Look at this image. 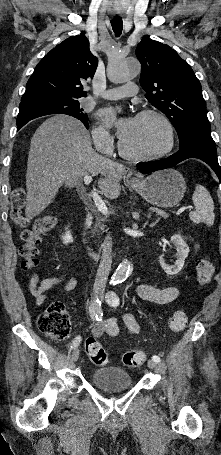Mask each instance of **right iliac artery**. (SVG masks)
<instances>
[{
  "mask_svg": "<svg viewBox=\"0 0 221 455\" xmlns=\"http://www.w3.org/2000/svg\"><path fill=\"white\" fill-rule=\"evenodd\" d=\"M89 313H90V316H91L92 319H96L97 321H101L102 320L103 312H102V309H101V301L98 298L93 300L90 303ZM80 341H81V337L77 336L73 340L71 348L74 349V348L78 347V345L80 344Z\"/></svg>",
  "mask_w": 221,
  "mask_h": 455,
  "instance_id": "1",
  "label": "right iliac artery"
}]
</instances>
